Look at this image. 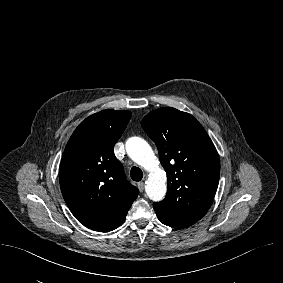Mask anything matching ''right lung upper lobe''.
Listing matches in <instances>:
<instances>
[{"label": "right lung upper lobe", "mask_w": 283, "mask_h": 283, "mask_svg": "<svg viewBox=\"0 0 283 283\" xmlns=\"http://www.w3.org/2000/svg\"><path fill=\"white\" fill-rule=\"evenodd\" d=\"M130 118L131 112L125 110L89 116L75 129L62 156L63 198L76 219L95 231L120 226L138 195L113 151Z\"/></svg>", "instance_id": "right-lung-upper-lobe-1"}]
</instances>
